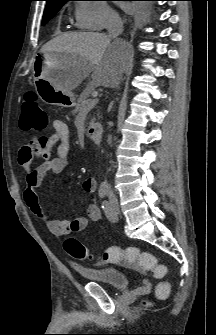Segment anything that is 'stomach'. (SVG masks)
Here are the masks:
<instances>
[{
  "label": "stomach",
  "instance_id": "stomach-1",
  "mask_svg": "<svg viewBox=\"0 0 216 335\" xmlns=\"http://www.w3.org/2000/svg\"><path fill=\"white\" fill-rule=\"evenodd\" d=\"M72 58L68 54L44 53L38 56L34 65V84L40 99L50 105L71 108L76 105L72 91L65 92L57 85V78L70 67Z\"/></svg>",
  "mask_w": 216,
  "mask_h": 335
}]
</instances>
